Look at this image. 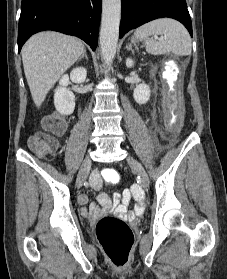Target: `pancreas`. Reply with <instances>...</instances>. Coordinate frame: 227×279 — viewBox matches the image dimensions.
<instances>
[{"label": "pancreas", "mask_w": 227, "mask_h": 279, "mask_svg": "<svg viewBox=\"0 0 227 279\" xmlns=\"http://www.w3.org/2000/svg\"><path fill=\"white\" fill-rule=\"evenodd\" d=\"M155 69H156V68L154 67L153 70H152V72H151L152 74L154 73Z\"/></svg>", "instance_id": "pancreas-1"}]
</instances>
